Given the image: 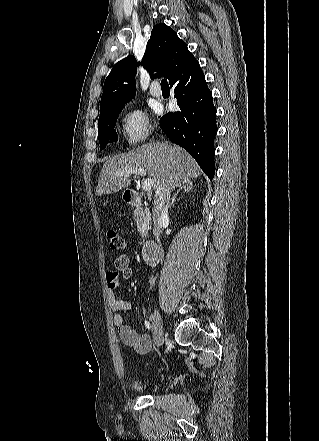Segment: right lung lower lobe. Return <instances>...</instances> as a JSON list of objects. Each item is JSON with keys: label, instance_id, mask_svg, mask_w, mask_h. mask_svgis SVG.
<instances>
[{"label": "right lung lower lobe", "instance_id": "1", "mask_svg": "<svg viewBox=\"0 0 319 441\" xmlns=\"http://www.w3.org/2000/svg\"><path fill=\"white\" fill-rule=\"evenodd\" d=\"M170 86L174 87L181 111L163 116L160 127L172 142L186 149L212 179L215 173L216 109L199 63L196 61L175 77Z\"/></svg>", "mask_w": 319, "mask_h": 441}]
</instances>
